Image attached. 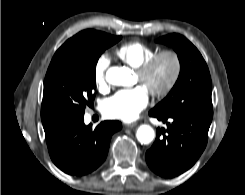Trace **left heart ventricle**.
Returning a JSON list of instances; mask_svg holds the SVG:
<instances>
[{
    "instance_id": "left-heart-ventricle-1",
    "label": "left heart ventricle",
    "mask_w": 245,
    "mask_h": 195,
    "mask_svg": "<svg viewBox=\"0 0 245 195\" xmlns=\"http://www.w3.org/2000/svg\"><path fill=\"white\" fill-rule=\"evenodd\" d=\"M171 72L172 62L170 58L163 57L155 64L143 82L140 81L138 76H136V78L137 81L147 89V91L156 90L162 88L166 84Z\"/></svg>"
}]
</instances>
